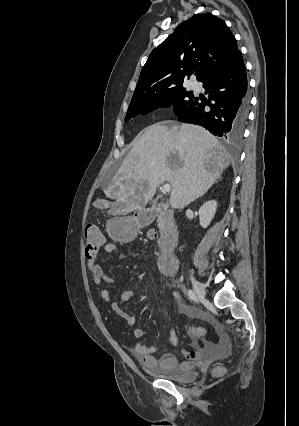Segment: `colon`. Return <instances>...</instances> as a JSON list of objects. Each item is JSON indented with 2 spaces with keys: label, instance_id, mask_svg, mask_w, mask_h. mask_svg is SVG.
Segmentation results:
<instances>
[{
  "label": "colon",
  "instance_id": "colon-1",
  "mask_svg": "<svg viewBox=\"0 0 299 426\" xmlns=\"http://www.w3.org/2000/svg\"><path fill=\"white\" fill-rule=\"evenodd\" d=\"M105 243L104 237L100 229L95 225H88L85 230V256L87 259L94 257ZM189 332L196 336L202 337L205 330L201 327H189ZM223 367H217L213 371L215 377H220L224 374Z\"/></svg>",
  "mask_w": 299,
  "mask_h": 426
}]
</instances>
